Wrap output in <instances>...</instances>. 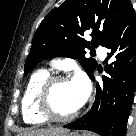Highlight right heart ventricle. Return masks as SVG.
Wrapping results in <instances>:
<instances>
[{
	"instance_id": "e07e8e85",
	"label": "right heart ventricle",
	"mask_w": 136,
	"mask_h": 136,
	"mask_svg": "<svg viewBox=\"0 0 136 136\" xmlns=\"http://www.w3.org/2000/svg\"><path fill=\"white\" fill-rule=\"evenodd\" d=\"M49 76L47 70L34 72L26 83L21 99L23 120L27 124H43L46 119L42 117L36 108V97L40 86Z\"/></svg>"
}]
</instances>
